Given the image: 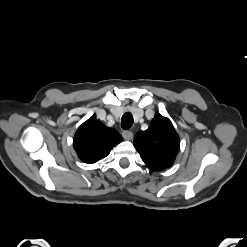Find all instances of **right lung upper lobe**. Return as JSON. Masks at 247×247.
Masks as SVG:
<instances>
[{"instance_id": "obj_1", "label": "right lung upper lobe", "mask_w": 247, "mask_h": 247, "mask_svg": "<svg viewBox=\"0 0 247 247\" xmlns=\"http://www.w3.org/2000/svg\"><path fill=\"white\" fill-rule=\"evenodd\" d=\"M123 140L113 128H109L91 117L84 122L74 136V149L85 163H95L110 153Z\"/></svg>"}]
</instances>
